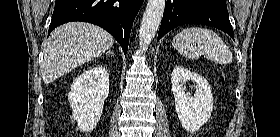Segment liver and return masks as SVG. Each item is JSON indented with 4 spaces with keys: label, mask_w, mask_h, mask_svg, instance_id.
<instances>
[{
    "label": "liver",
    "mask_w": 280,
    "mask_h": 137,
    "mask_svg": "<svg viewBox=\"0 0 280 137\" xmlns=\"http://www.w3.org/2000/svg\"><path fill=\"white\" fill-rule=\"evenodd\" d=\"M114 44L104 29L89 23L71 22L57 27L44 49L42 78L45 84L100 56Z\"/></svg>",
    "instance_id": "liver-1"
}]
</instances>
